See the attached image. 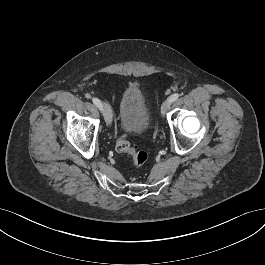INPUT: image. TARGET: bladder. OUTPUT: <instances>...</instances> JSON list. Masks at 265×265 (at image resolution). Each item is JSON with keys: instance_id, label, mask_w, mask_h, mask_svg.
Masks as SVG:
<instances>
[{"instance_id": "obj_1", "label": "bladder", "mask_w": 265, "mask_h": 265, "mask_svg": "<svg viewBox=\"0 0 265 265\" xmlns=\"http://www.w3.org/2000/svg\"><path fill=\"white\" fill-rule=\"evenodd\" d=\"M119 119L123 130L129 134H140L150 125L152 113L138 86L130 85L123 91Z\"/></svg>"}]
</instances>
